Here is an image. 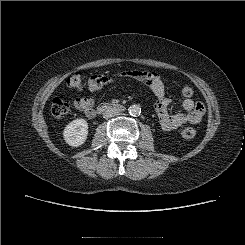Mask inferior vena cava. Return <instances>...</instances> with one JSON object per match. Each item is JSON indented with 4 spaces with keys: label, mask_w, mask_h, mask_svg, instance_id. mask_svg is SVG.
<instances>
[{
    "label": "inferior vena cava",
    "mask_w": 245,
    "mask_h": 245,
    "mask_svg": "<svg viewBox=\"0 0 245 245\" xmlns=\"http://www.w3.org/2000/svg\"><path fill=\"white\" fill-rule=\"evenodd\" d=\"M118 114H119V111H118V110H116V109H110V110H107V111H105V112L103 113V117H104L105 119H108V118L114 117V116H116V115H118Z\"/></svg>",
    "instance_id": "inferior-vena-cava-1"
}]
</instances>
